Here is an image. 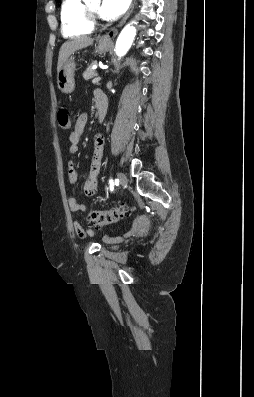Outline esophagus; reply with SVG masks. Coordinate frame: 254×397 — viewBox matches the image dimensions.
Returning a JSON list of instances; mask_svg holds the SVG:
<instances>
[{
	"instance_id": "34e87169",
	"label": "esophagus",
	"mask_w": 254,
	"mask_h": 397,
	"mask_svg": "<svg viewBox=\"0 0 254 397\" xmlns=\"http://www.w3.org/2000/svg\"><path fill=\"white\" fill-rule=\"evenodd\" d=\"M135 2L136 0H132V3L127 11V13L125 14V16L123 17V19L119 22L118 26L116 28L111 29L108 33H106L103 37L102 40L104 42H110L112 41L116 35L118 34V28L122 27L126 20L128 19V17L130 16V14L132 13L134 6H135Z\"/></svg>"
}]
</instances>
